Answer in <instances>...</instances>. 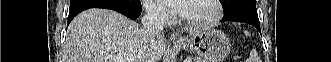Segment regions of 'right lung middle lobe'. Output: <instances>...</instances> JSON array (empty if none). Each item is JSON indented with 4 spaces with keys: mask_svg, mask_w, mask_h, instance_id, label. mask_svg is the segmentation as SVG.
<instances>
[{
    "mask_svg": "<svg viewBox=\"0 0 331 62\" xmlns=\"http://www.w3.org/2000/svg\"><path fill=\"white\" fill-rule=\"evenodd\" d=\"M80 1L82 0H71L70 5ZM111 1L122 4L127 7H138L141 4L140 0H111Z\"/></svg>",
    "mask_w": 331,
    "mask_h": 62,
    "instance_id": "obj_1",
    "label": "right lung middle lobe"
}]
</instances>
